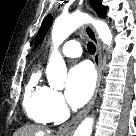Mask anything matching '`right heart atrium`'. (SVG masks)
Returning a JSON list of instances; mask_svg holds the SVG:
<instances>
[{
  "instance_id": "d8ad5b80",
  "label": "right heart atrium",
  "mask_w": 136,
  "mask_h": 136,
  "mask_svg": "<svg viewBox=\"0 0 136 136\" xmlns=\"http://www.w3.org/2000/svg\"><path fill=\"white\" fill-rule=\"evenodd\" d=\"M47 106L55 121L63 119L68 113L62 94L56 90L49 89Z\"/></svg>"
}]
</instances>
